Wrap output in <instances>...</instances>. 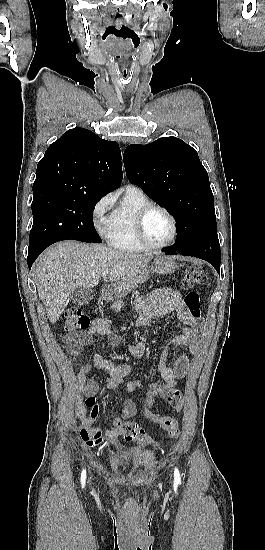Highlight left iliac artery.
<instances>
[{
    "label": "left iliac artery",
    "mask_w": 265,
    "mask_h": 550,
    "mask_svg": "<svg viewBox=\"0 0 265 550\" xmlns=\"http://www.w3.org/2000/svg\"><path fill=\"white\" fill-rule=\"evenodd\" d=\"M174 482L176 484L181 483V477H180V472H179L178 468H175V470H174Z\"/></svg>",
    "instance_id": "1"
}]
</instances>
